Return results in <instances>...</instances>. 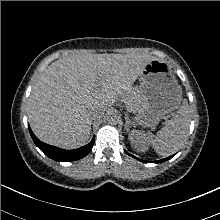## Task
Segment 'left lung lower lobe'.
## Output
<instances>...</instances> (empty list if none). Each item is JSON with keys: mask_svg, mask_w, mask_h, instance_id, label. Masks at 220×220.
<instances>
[{"mask_svg": "<svg viewBox=\"0 0 220 220\" xmlns=\"http://www.w3.org/2000/svg\"><path fill=\"white\" fill-rule=\"evenodd\" d=\"M174 155L170 156V157H167V158H164V159H161V160H157V161H153L152 163H161V162H165L167 160H169L170 158H172Z\"/></svg>", "mask_w": 220, "mask_h": 220, "instance_id": "obj_1", "label": "left lung lower lobe"}]
</instances>
